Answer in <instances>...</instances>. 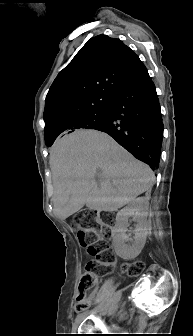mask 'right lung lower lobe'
Listing matches in <instances>:
<instances>
[{
  "instance_id": "obj_1",
  "label": "right lung lower lobe",
  "mask_w": 193,
  "mask_h": 336,
  "mask_svg": "<svg viewBox=\"0 0 193 336\" xmlns=\"http://www.w3.org/2000/svg\"><path fill=\"white\" fill-rule=\"evenodd\" d=\"M99 130L153 170L158 168L163 122L155 86L143 63L111 101L107 122Z\"/></svg>"
}]
</instances>
